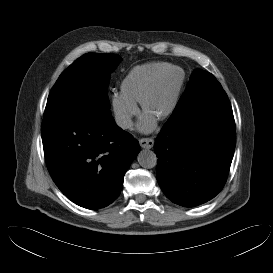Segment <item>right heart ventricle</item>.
Returning <instances> with one entry per match:
<instances>
[{
    "instance_id": "e07e8e85",
    "label": "right heart ventricle",
    "mask_w": 273,
    "mask_h": 273,
    "mask_svg": "<svg viewBox=\"0 0 273 273\" xmlns=\"http://www.w3.org/2000/svg\"><path fill=\"white\" fill-rule=\"evenodd\" d=\"M169 65L151 62L135 67L130 71L121 86V95L133 104L140 101L141 95L154 76Z\"/></svg>"
}]
</instances>
